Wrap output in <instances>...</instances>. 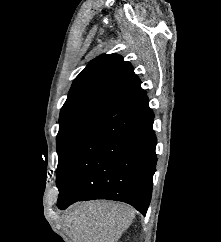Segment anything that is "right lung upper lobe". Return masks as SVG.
I'll return each mask as SVG.
<instances>
[{"label":"right lung upper lobe","instance_id":"1","mask_svg":"<svg viewBox=\"0 0 221 242\" xmlns=\"http://www.w3.org/2000/svg\"><path fill=\"white\" fill-rule=\"evenodd\" d=\"M145 94L129 62L118 54L99 56L74 80L59 125L106 122Z\"/></svg>","mask_w":221,"mask_h":242}]
</instances>
